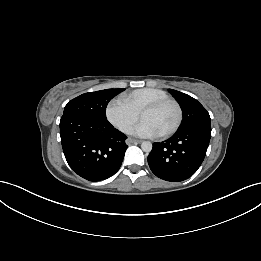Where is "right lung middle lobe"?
Here are the masks:
<instances>
[{
  "label": "right lung middle lobe",
  "mask_w": 261,
  "mask_h": 261,
  "mask_svg": "<svg viewBox=\"0 0 261 261\" xmlns=\"http://www.w3.org/2000/svg\"><path fill=\"white\" fill-rule=\"evenodd\" d=\"M124 89H105L82 94L67 103L63 114H76L79 116L97 119H106L108 102Z\"/></svg>",
  "instance_id": "right-lung-middle-lobe-1"
}]
</instances>
